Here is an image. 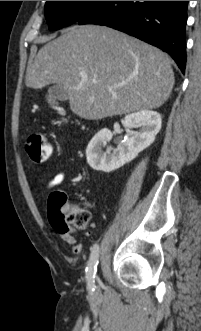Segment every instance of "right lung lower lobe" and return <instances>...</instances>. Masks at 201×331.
Wrapping results in <instances>:
<instances>
[{"label":"right lung lower lobe","mask_w":201,"mask_h":331,"mask_svg":"<svg viewBox=\"0 0 201 331\" xmlns=\"http://www.w3.org/2000/svg\"><path fill=\"white\" fill-rule=\"evenodd\" d=\"M188 1H104L78 24L108 26L169 53L184 73Z\"/></svg>","instance_id":"98d812e1"}]
</instances>
